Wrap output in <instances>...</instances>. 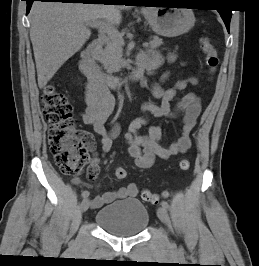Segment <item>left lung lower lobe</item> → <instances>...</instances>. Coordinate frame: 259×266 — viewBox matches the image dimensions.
I'll return each mask as SVG.
<instances>
[{"label": "left lung lower lobe", "instance_id": "1", "mask_svg": "<svg viewBox=\"0 0 259 266\" xmlns=\"http://www.w3.org/2000/svg\"><path fill=\"white\" fill-rule=\"evenodd\" d=\"M152 3H169V4H172L170 2H161V1L160 2L159 1L158 2H152ZM218 11L220 12L221 17H222V19L226 25V28L229 32L230 20H231V15H232L231 11L228 9H219Z\"/></svg>", "mask_w": 259, "mask_h": 266}]
</instances>
